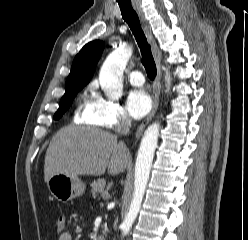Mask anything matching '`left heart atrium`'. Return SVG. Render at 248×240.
Returning a JSON list of instances; mask_svg holds the SVG:
<instances>
[{
    "mask_svg": "<svg viewBox=\"0 0 248 240\" xmlns=\"http://www.w3.org/2000/svg\"><path fill=\"white\" fill-rule=\"evenodd\" d=\"M126 104L129 115L134 119L144 117L151 109V99L143 89L132 90Z\"/></svg>",
    "mask_w": 248,
    "mask_h": 240,
    "instance_id": "39dd6f15",
    "label": "left heart atrium"
}]
</instances>
